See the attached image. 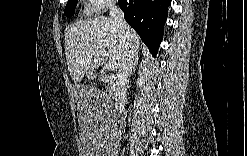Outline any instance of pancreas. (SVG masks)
<instances>
[{
  "label": "pancreas",
  "mask_w": 247,
  "mask_h": 156,
  "mask_svg": "<svg viewBox=\"0 0 247 156\" xmlns=\"http://www.w3.org/2000/svg\"><path fill=\"white\" fill-rule=\"evenodd\" d=\"M103 80L106 81L107 83H111L110 78L107 77V76H104V77H103ZM110 89H111V87L108 86V90H110Z\"/></svg>",
  "instance_id": "cf45deb5"
}]
</instances>
